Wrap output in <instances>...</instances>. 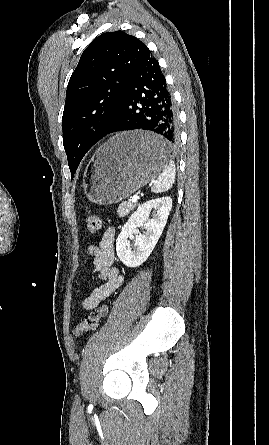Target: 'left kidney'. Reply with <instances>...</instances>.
Returning a JSON list of instances; mask_svg holds the SVG:
<instances>
[{
  "mask_svg": "<svg viewBox=\"0 0 269 445\" xmlns=\"http://www.w3.org/2000/svg\"><path fill=\"white\" fill-rule=\"evenodd\" d=\"M172 208V199L162 197L147 201L131 215L128 222L122 227L121 233L116 240V252L119 259L127 267H137L144 263L156 246L168 216ZM152 212L153 218L149 215ZM145 229L143 234L138 233V227ZM135 237V250L128 244V239Z\"/></svg>",
  "mask_w": 269,
  "mask_h": 445,
  "instance_id": "5707ae66",
  "label": "left kidney"
}]
</instances>
